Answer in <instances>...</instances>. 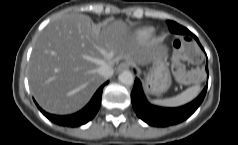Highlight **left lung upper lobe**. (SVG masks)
<instances>
[{
	"label": "left lung upper lobe",
	"instance_id": "obj_1",
	"mask_svg": "<svg viewBox=\"0 0 238 145\" xmlns=\"http://www.w3.org/2000/svg\"><path fill=\"white\" fill-rule=\"evenodd\" d=\"M167 23H168V26H169V29L171 30V27H172V21H167Z\"/></svg>",
	"mask_w": 238,
	"mask_h": 145
}]
</instances>
